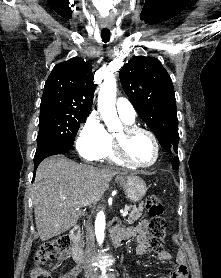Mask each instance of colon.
Listing matches in <instances>:
<instances>
[{"label":"colon","mask_w":221,"mask_h":278,"mask_svg":"<svg viewBox=\"0 0 221 278\" xmlns=\"http://www.w3.org/2000/svg\"><path fill=\"white\" fill-rule=\"evenodd\" d=\"M145 205L150 217L148 245L153 251L160 252L163 250L167 230V221L163 217L164 206L156 196H148ZM70 243V238L63 236L42 244L35 255V264L30 271V278H51L43 264L61 251L67 250Z\"/></svg>","instance_id":"colon-1"}]
</instances>
